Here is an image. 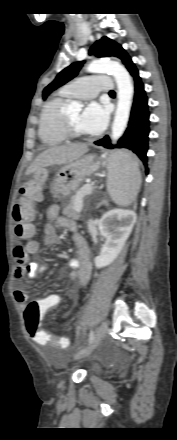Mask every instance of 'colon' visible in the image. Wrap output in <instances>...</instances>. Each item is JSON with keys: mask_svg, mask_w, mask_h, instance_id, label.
Segmentation results:
<instances>
[{"mask_svg": "<svg viewBox=\"0 0 177 440\" xmlns=\"http://www.w3.org/2000/svg\"><path fill=\"white\" fill-rule=\"evenodd\" d=\"M45 180L46 174L40 173L19 188V197L12 208L13 232L18 238L26 239L33 234L34 204L42 198L41 191ZM16 247L21 257H26L31 251V247L23 243L17 244ZM63 303V298H32L23 312L29 339L31 342H37L38 348L51 346V352H61L62 348L70 345L71 341L67 334H50L49 330H40L42 318L48 315V311H56Z\"/></svg>", "mask_w": 177, "mask_h": 440, "instance_id": "colon-1", "label": "colon"}]
</instances>
